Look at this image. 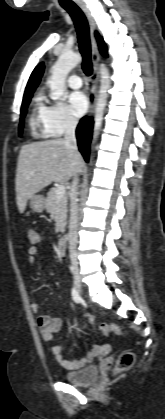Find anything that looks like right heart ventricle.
I'll return each instance as SVG.
<instances>
[{"label":"right heart ventricle","mask_w":165,"mask_h":419,"mask_svg":"<svg viewBox=\"0 0 165 419\" xmlns=\"http://www.w3.org/2000/svg\"><path fill=\"white\" fill-rule=\"evenodd\" d=\"M42 110H43V103L41 100V96H37L34 101L30 123H31V126L35 130H37L39 134L43 136H47V133L43 127Z\"/></svg>","instance_id":"right-heart-ventricle-1"}]
</instances>
